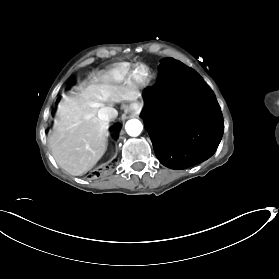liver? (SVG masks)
<instances>
[{
    "label": "liver",
    "mask_w": 279,
    "mask_h": 279,
    "mask_svg": "<svg viewBox=\"0 0 279 279\" xmlns=\"http://www.w3.org/2000/svg\"><path fill=\"white\" fill-rule=\"evenodd\" d=\"M139 91L108 74L100 76L78 96H64L58 104L49 146L57 164L74 176L91 169L107 149L108 123L97 114L104 103L134 101Z\"/></svg>",
    "instance_id": "6515ba94"
}]
</instances>
